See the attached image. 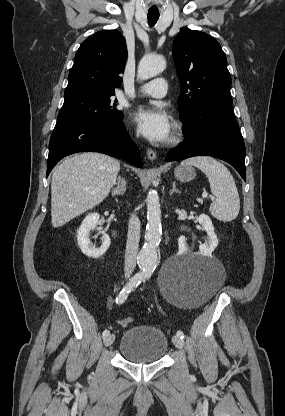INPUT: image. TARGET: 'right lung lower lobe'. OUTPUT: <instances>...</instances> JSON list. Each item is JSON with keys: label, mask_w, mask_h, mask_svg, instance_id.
<instances>
[{"label": "right lung lower lobe", "mask_w": 285, "mask_h": 416, "mask_svg": "<svg viewBox=\"0 0 285 416\" xmlns=\"http://www.w3.org/2000/svg\"><path fill=\"white\" fill-rule=\"evenodd\" d=\"M84 151L124 158L136 167L142 166L139 150L122 122L56 124L49 143L47 176L63 157Z\"/></svg>", "instance_id": "obj_1"}]
</instances>
